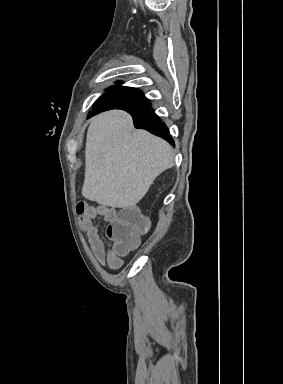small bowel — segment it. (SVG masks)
<instances>
[{"mask_svg":"<svg viewBox=\"0 0 283 384\" xmlns=\"http://www.w3.org/2000/svg\"><path fill=\"white\" fill-rule=\"evenodd\" d=\"M117 215V210L107 205L88 206L85 208L81 219L82 229L87 233L94 256L99 263L108 266L112 270L120 268L123 265V259L115 247L101 236L94 221L96 218L101 217L106 222L111 223Z\"/></svg>","mask_w":283,"mask_h":384,"instance_id":"obj_1","label":"small bowel"}]
</instances>
